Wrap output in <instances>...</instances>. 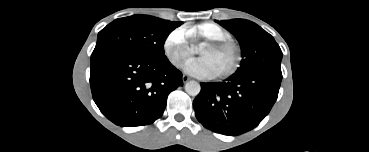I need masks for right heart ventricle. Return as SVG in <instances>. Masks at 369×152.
Instances as JSON below:
<instances>
[{"instance_id":"obj_1","label":"right heart ventricle","mask_w":369,"mask_h":152,"mask_svg":"<svg viewBox=\"0 0 369 152\" xmlns=\"http://www.w3.org/2000/svg\"><path fill=\"white\" fill-rule=\"evenodd\" d=\"M194 49L200 48L204 43L211 40L230 38L229 32L220 25L206 21L184 28Z\"/></svg>"}]
</instances>
